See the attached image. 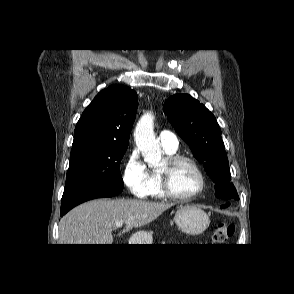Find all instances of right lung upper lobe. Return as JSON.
<instances>
[{
	"label": "right lung upper lobe",
	"mask_w": 294,
	"mask_h": 294,
	"mask_svg": "<svg viewBox=\"0 0 294 294\" xmlns=\"http://www.w3.org/2000/svg\"><path fill=\"white\" fill-rule=\"evenodd\" d=\"M137 106V94L127 86L112 85L102 90L79 119L72 146L93 144L128 147Z\"/></svg>",
	"instance_id": "right-lung-upper-lobe-1"
}]
</instances>
